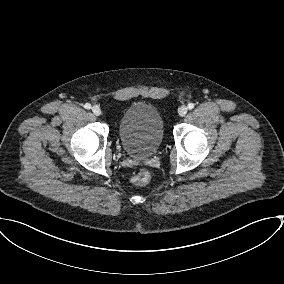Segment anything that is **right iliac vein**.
Masks as SVG:
<instances>
[{
	"label": "right iliac vein",
	"mask_w": 284,
	"mask_h": 284,
	"mask_svg": "<svg viewBox=\"0 0 284 284\" xmlns=\"http://www.w3.org/2000/svg\"><path fill=\"white\" fill-rule=\"evenodd\" d=\"M92 112H93L94 115L99 116L101 114V109L98 106H93Z\"/></svg>",
	"instance_id": "1"
}]
</instances>
